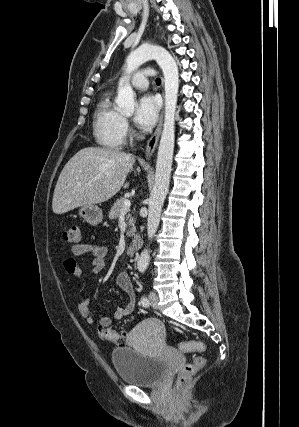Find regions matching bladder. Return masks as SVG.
I'll return each mask as SVG.
<instances>
[{"mask_svg":"<svg viewBox=\"0 0 299 427\" xmlns=\"http://www.w3.org/2000/svg\"><path fill=\"white\" fill-rule=\"evenodd\" d=\"M111 357L120 380L132 385L155 386L167 371L162 360L142 354L130 346L115 348Z\"/></svg>","mask_w":299,"mask_h":427,"instance_id":"bladder-1","label":"bladder"}]
</instances>
